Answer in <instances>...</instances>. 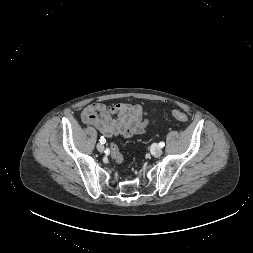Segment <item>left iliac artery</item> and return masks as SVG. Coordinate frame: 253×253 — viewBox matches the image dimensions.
I'll use <instances>...</instances> for the list:
<instances>
[{
	"label": "left iliac artery",
	"instance_id": "left-iliac-artery-1",
	"mask_svg": "<svg viewBox=\"0 0 253 253\" xmlns=\"http://www.w3.org/2000/svg\"><path fill=\"white\" fill-rule=\"evenodd\" d=\"M164 145H165L164 142H160V143H159V146H161V147H163Z\"/></svg>",
	"mask_w": 253,
	"mask_h": 253
}]
</instances>
